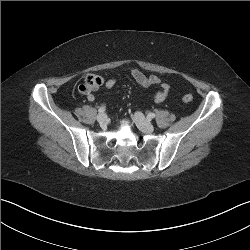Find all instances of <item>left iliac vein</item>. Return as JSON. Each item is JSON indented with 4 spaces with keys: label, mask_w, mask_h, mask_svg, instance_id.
Masks as SVG:
<instances>
[{
    "label": "left iliac vein",
    "mask_w": 250,
    "mask_h": 250,
    "mask_svg": "<svg viewBox=\"0 0 250 250\" xmlns=\"http://www.w3.org/2000/svg\"><path fill=\"white\" fill-rule=\"evenodd\" d=\"M133 119L137 127L145 133H152L154 131V126L149 122L141 112H136L133 115Z\"/></svg>",
    "instance_id": "4c4485c4"
}]
</instances>
